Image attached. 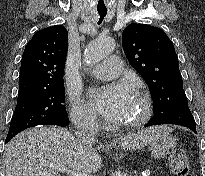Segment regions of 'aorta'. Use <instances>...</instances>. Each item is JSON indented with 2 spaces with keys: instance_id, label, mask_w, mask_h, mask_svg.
I'll return each instance as SVG.
<instances>
[{
  "instance_id": "762f6f07",
  "label": "aorta",
  "mask_w": 205,
  "mask_h": 176,
  "mask_svg": "<svg viewBox=\"0 0 205 176\" xmlns=\"http://www.w3.org/2000/svg\"><path fill=\"white\" fill-rule=\"evenodd\" d=\"M115 47L112 38L97 39L87 46L85 50V63L92 67L108 56Z\"/></svg>"
}]
</instances>
